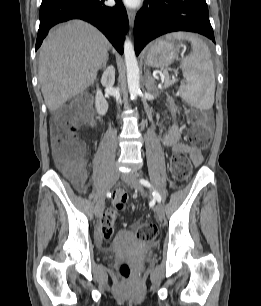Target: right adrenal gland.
<instances>
[{
	"mask_svg": "<svg viewBox=\"0 0 261 306\" xmlns=\"http://www.w3.org/2000/svg\"><path fill=\"white\" fill-rule=\"evenodd\" d=\"M107 60H108V59H107ZM106 63H107V61L102 65L101 68H106Z\"/></svg>",
	"mask_w": 261,
	"mask_h": 306,
	"instance_id": "1",
	"label": "right adrenal gland"
}]
</instances>
